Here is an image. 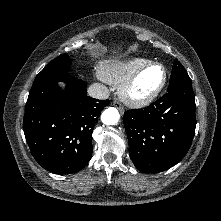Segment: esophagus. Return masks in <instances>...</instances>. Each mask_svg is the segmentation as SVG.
<instances>
[{
  "label": "esophagus",
  "mask_w": 221,
  "mask_h": 221,
  "mask_svg": "<svg viewBox=\"0 0 221 221\" xmlns=\"http://www.w3.org/2000/svg\"><path fill=\"white\" fill-rule=\"evenodd\" d=\"M113 105L120 111L121 114L124 113V108L119 101H114Z\"/></svg>",
  "instance_id": "1"
}]
</instances>
